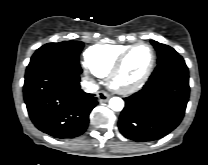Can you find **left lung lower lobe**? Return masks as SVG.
<instances>
[{"instance_id": "1", "label": "left lung lower lobe", "mask_w": 208, "mask_h": 165, "mask_svg": "<svg viewBox=\"0 0 208 165\" xmlns=\"http://www.w3.org/2000/svg\"><path fill=\"white\" fill-rule=\"evenodd\" d=\"M189 94L188 68L183 58L177 54L163 60L140 91L124 98L120 132L137 142L164 137L182 121Z\"/></svg>"}]
</instances>
